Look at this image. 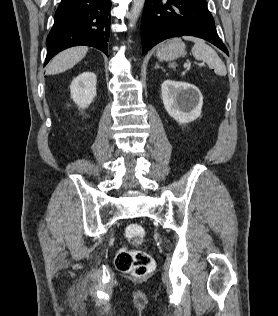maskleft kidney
I'll return each mask as SVG.
<instances>
[{"instance_id": "left-kidney-1", "label": "left kidney", "mask_w": 278, "mask_h": 316, "mask_svg": "<svg viewBox=\"0 0 278 316\" xmlns=\"http://www.w3.org/2000/svg\"><path fill=\"white\" fill-rule=\"evenodd\" d=\"M162 99L167 113L179 123H190L201 115L203 96L192 84L165 80Z\"/></svg>"}]
</instances>
